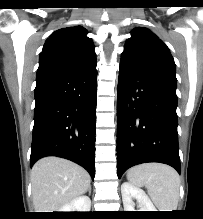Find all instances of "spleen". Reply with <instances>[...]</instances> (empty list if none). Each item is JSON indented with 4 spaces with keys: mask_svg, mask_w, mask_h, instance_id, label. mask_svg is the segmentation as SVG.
<instances>
[{
    "mask_svg": "<svg viewBox=\"0 0 203 219\" xmlns=\"http://www.w3.org/2000/svg\"><path fill=\"white\" fill-rule=\"evenodd\" d=\"M127 179L135 186H145L159 211L177 210L180 178L172 167L158 163L141 164L127 172Z\"/></svg>",
    "mask_w": 203,
    "mask_h": 219,
    "instance_id": "1",
    "label": "spleen"
}]
</instances>
